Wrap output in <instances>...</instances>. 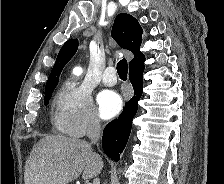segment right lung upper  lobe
<instances>
[{"label":"right lung upper lobe","mask_w":224,"mask_h":184,"mask_svg":"<svg viewBox=\"0 0 224 184\" xmlns=\"http://www.w3.org/2000/svg\"><path fill=\"white\" fill-rule=\"evenodd\" d=\"M142 28L137 19L133 16L121 13L115 18L111 35L113 39L124 49L130 50L134 54V59L130 62V70L144 66L145 56L140 52L142 42ZM78 48L77 39H69L61 48L51 74L48 78L45 92L53 90L58 83V76L63 67L73 57Z\"/></svg>","instance_id":"1"}]
</instances>
